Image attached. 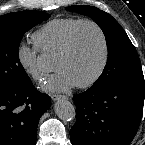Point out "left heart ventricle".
I'll use <instances>...</instances> for the list:
<instances>
[{
    "label": "left heart ventricle",
    "mask_w": 145,
    "mask_h": 145,
    "mask_svg": "<svg viewBox=\"0 0 145 145\" xmlns=\"http://www.w3.org/2000/svg\"><path fill=\"white\" fill-rule=\"evenodd\" d=\"M103 58V45L98 31L83 25L77 32L71 53L63 58H56L54 68L65 71L76 84L86 82L98 70Z\"/></svg>",
    "instance_id": "1"
}]
</instances>
